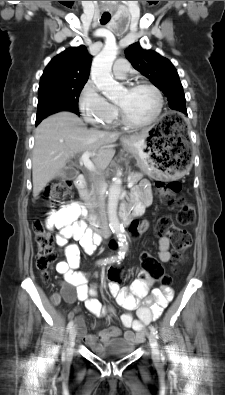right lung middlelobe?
Segmentation results:
<instances>
[{"label":"right lung middle lobe","instance_id":"1","mask_svg":"<svg viewBox=\"0 0 225 395\" xmlns=\"http://www.w3.org/2000/svg\"><path fill=\"white\" fill-rule=\"evenodd\" d=\"M86 82L50 83L39 85L36 120L61 110L78 111V99Z\"/></svg>","mask_w":225,"mask_h":395}]
</instances>
